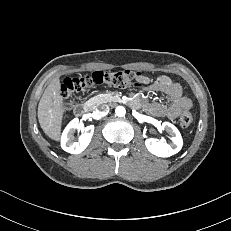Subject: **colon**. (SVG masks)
I'll list each match as a JSON object with an SVG mask.
<instances>
[{
	"mask_svg": "<svg viewBox=\"0 0 231 231\" xmlns=\"http://www.w3.org/2000/svg\"><path fill=\"white\" fill-rule=\"evenodd\" d=\"M141 77L142 73L140 72L125 70L118 72L96 71L82 77L67 78L61 86L62 96L65 101L64 108L68 111L72 106L73 98L88 87L135 88L143 85ZM192 121L191 112L186 110L181 113L179 124L183 129H187Z\"/></svg>",
	"mask_w": 231,
	"mask_h": 231,
	"instance_id": "5ec220e1",
	"label": "colon"
}]
</instances>
